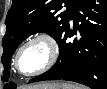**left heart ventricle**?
Wrapping results in <instances>:
<instances>
[{
	"label": "left heart ventricle",
	"mask_w": 107,
	"mask_h": 89,
	"mask_svg": "<svg viewBox=\"0 0 107 89\" xmlns=\"http://www.w3.org/2000/svg\"><path fill=\"white\" fill-rule=\"evenodd\" d=\"M49 57L48 47L37 41L26 46L21 52L18 65L23 73L33 72L45 65Z\"/></svg>",
	"instance_id": "left-heart-ventricle-1"
}]
</instances>
